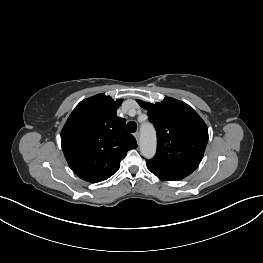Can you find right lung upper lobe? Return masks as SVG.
I'll return each instance as SVG.
<instances>
[{"mask_svg":"<svg viewBox=\"0 0 263 263\" xmlns=\"http://www.w3.org/2000/svg\"><path fill=\"white\" fill-rule=\"evenodd\" d=\"M121 103L104 94L87 98L75 107L62 129L65 158L85 181L108 179L127 152L137 147L134 136L125 129V119L116 114Z\"/></svg>","mask_w":263,"mask_h":263,"instance_id":"1","label":"right lung upper lobe"}]
</instances>
